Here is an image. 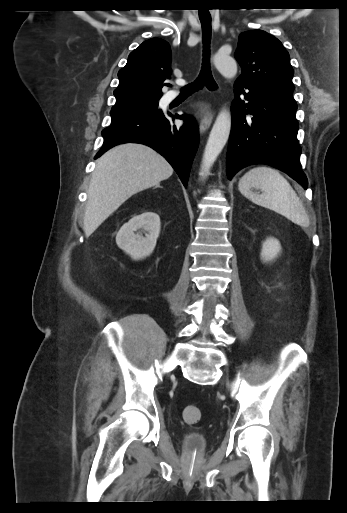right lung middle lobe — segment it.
I'll use <instances>...</instances> for the list:
<instances>
[{
	"instance_id": "1",
	"label": "right lung middle lobe",
	"mask_w": 347,
	"mask_h": 513,
	"mask_svg": "<svg viewBox=\"0 0 347 513\" xmlns=\"http://www.w3.org/2000/svg\"><path fill=\"white\" fill-rule=\"evenodd\" d=\"M158 98L143 99L136 102H131L123 105H115L110 114L111 117H117L122 115H131L136 113H157L160 112L158 109Z\"/></svg>"
}]
</instances>
